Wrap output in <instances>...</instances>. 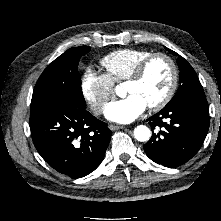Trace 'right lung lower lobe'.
Listing matches in <instances>:
<instances>
[{
    "label": "right lung lower lobe",
    "instance_id": "obj_1",
    "mask_svg": "<svg viewBox=\"0 0 221 221\" xmlns=\"http://www.w3.org/2000/svg\"><path fill=\"white\" fill-rule=\"evenodd\" d=\"M68 100L33 110V143L56 171L73 178L91 173L103 160L112 132L107 124Z\"/></svg>",
    "mask_w": 221,
    "mask_h": 221
}]
</instances>
